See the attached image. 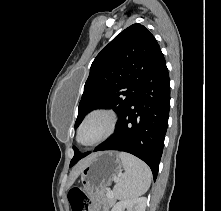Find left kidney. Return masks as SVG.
<instances>
[{
    "label": "left kidney",
    "mask_w": 221,
    "mask_h": 211,
    "mask_svg": "<svg viewBox=\"0 0 221 211\" xmlns=\"http://www.w3.org/2000/svg\"><path fill=\"white\" fill-rule=\"evenodd\" d=\"M147 198H133L117 202L111 211H145Z\"/></svg>",
    "instance_id": "obj_1"
}]
</instances>
